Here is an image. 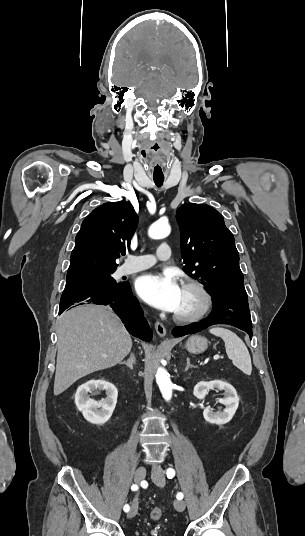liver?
<instances>
[{
    "mask_svg": "<svg viewBox=\"0 0 305 536\" xmlns=\"http://www.w3.org/2000/svg\"><path fill=\"white\" fill-rule=\"evenodd\" d=\"M54 396L92 372L120 364L132 348L124 324L107 306H77L58 324Z\"/></svg>",
    "mask_w": 305,
    "mask_h": 536,
    "instance_id": "6515ba94",
    "label": "liver"
}]
</instances>
